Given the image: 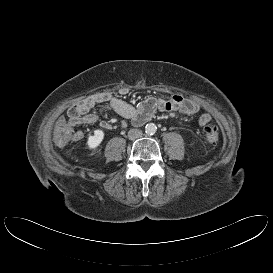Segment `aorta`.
Listing matches in <instances>:
<instances>
[{
  "label": "aorta",
  "instance_id": "762f6f07",
  "mask_svg": "<svg viewBox=\"0 0 273 273\" xmlns=\"http://www.w3.org/2000/svg\"><path fill=\"white\" fill-rule=\"evenodd\" d=\"M157 130V127L154 123H148L146 126H145V132L149 135H153Z\"/></svg>",
  "mask_w": 273,
  "mask_h": 273
}]
</instances>
